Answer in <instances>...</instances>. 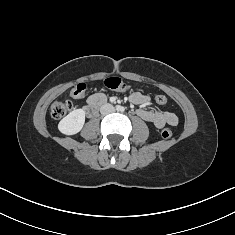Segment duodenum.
<instances>
[{"mask_svg": "<svg viewBox=\"0 0 235 235\" xmlns=\"http://www.w3.org/2000/svg\"><path fill=\"white\" fill-rule=\"evenodd\" d=\"M102 105H103V103H95V104L89 105L85 109V112H86L87 116L88 117H93Z\"/></svg>", "mask_w": 235, "mask_h": 235, "instance_id": "obj_1", "label": "duodenum"}]
</instances>
